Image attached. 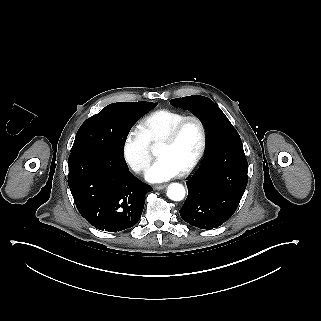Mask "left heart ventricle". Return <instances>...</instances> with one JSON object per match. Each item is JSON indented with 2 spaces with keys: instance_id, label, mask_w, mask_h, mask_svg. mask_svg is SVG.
Returning <instances> with one entry per match:
<instances>
[{
  "instance_id": "b2bd125f",
  "label": "left heart ventricle",
  "mask_w": 321,
  "mask_h": 321,
  "mask_svg": "<svg viewBox=\"0 0 321 321\" xmlns=\"http://www.w3.org/2000/svg\"><path fill=\"white\" fill-rule=\"evenodd\" d=\"M201 141L197 122L189 121L181 129L173 142L161 141V155L171 156L183 171L196 156Z\"/></svg>"
}]
</instances>
